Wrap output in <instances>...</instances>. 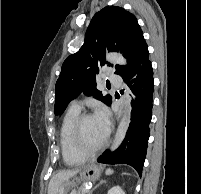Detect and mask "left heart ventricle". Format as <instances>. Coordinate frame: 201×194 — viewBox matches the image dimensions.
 <instances>
[{
	"label": "left heart ventricle",
	"mask_w": 201,
	"mask_h": 194,
	"mask_svg": "<svg viewBox=\"0 0 201 194\" xmlns=\"http://www.w3.org/2000/svg\"><path fill=\"white\" fill-rule=\"evenodd\" d=\"M82 136L85 146L90 149L97 147L105 139L93 117L84 121Z\"/></svg>",
	"instance_id": "obj_1"
}]
</instances>
